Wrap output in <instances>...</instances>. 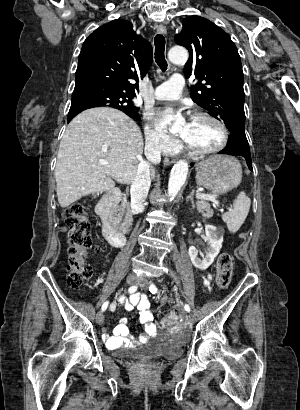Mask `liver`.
Returning a JSON list of instances; mask_svg holds the SVG:
<instances>
[{"label":"liver","instance_id":"obj_1","mask_svg":"<svg viewBox=\"0 0 300 410\" xmlns=\"http://www.w3.org/2000/svg\"><path fill=\"white\" fill-rule=\"evenodd\" d=\"M143 146L138 125L119 110L97 107L78 114L69 123L57 155L55 179L60 206L66 208L83 196L109 191L114 180L132 183L143 160ZM100 159L108 164H100ZM150 176L154 178V168Z\"/></svg>","mask_w":300,"mask_h":410}]
</instances>
